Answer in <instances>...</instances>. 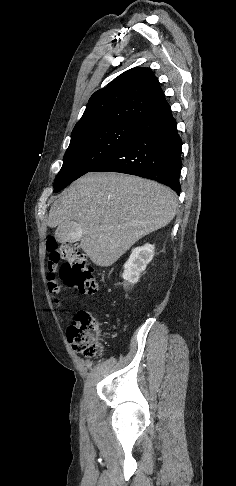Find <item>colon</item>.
<instances>
[{
  "instance_id": "obj_1",
  "label": "colon",
  "mask_w": 236,
  "mask_h": 486,
  "mask_svg": "<svg viewBox=\"0 0 236 486\" xmlns=\"http://www.w3.org/2000/svg\"><path fill=\"white\" fill-rule=\"evenodd\" d=\"M47 252V279L51 292L57 293L60 290L55 272L61 262L59 275L64 284L84 296H91L96 292L94 270L77 245H59L50 239L47 243ZM67 338L73 350L85 357H94L102 350L101 330L94 317L87 311L82 310L75 315L67 329Z\"/></svg>"
}]
</instances>
